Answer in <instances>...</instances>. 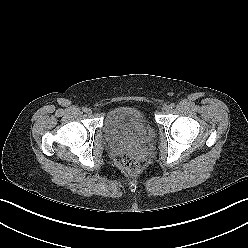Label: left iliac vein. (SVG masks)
Wrapping results in <instances>:
<instances>
[{
    "label": "left iliac vein",
    "mask_w": 248,
    "mask_h": 248,
    "mask_svg": "<svg viewBox=\"0 0 248 248\" xmlns=\"http://www.w3.org/2000/svg\"><path fill=\"white\" fill-rule=\"evenodd\" d=\"M164 110H165L166 112H170V111H171V106H170V105H165V106H164Z\"/></svg>",
    "instance_id": "obj_1"
}]
</instances>
